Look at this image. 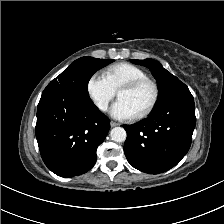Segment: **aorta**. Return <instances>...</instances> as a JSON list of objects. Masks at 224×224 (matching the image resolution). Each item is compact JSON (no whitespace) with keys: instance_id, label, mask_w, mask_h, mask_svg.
<instances>
[{"instance_id":"aorta-1","label":"aorta","mask_w":224,"mask_h":224,"mask_svg":"<svg viewBox=\"0 0 224 224\" xmlns=\"http://www.w3.org/2000/svg\"><path fill=\"white\" fill-rule=\"evenodd\" d=\"M111 139L115 142H124L127 137V133L122 127H115L110 132Z\"/></svg>"}]
</instances>
